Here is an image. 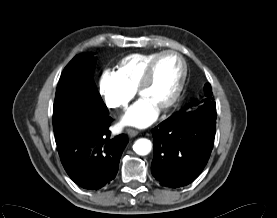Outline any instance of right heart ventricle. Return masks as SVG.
Listing matches in <instances>:
<instances>
[{
    "instance_id": "right-heart-ventricle-1",
    "label": "right heart ventricle",
    "mask_w": 277,
    "mask_h": 218,
    "mask_svg": "<svg viewBox=\"0 0 277 218\" xmlns=\"http://www.w3.org/2000/svg\"><path fill=\"white\" fill-rule=\"evenodd\" d=\"M159 52L133 53L124 57L118 65V73L133 88H137L149 62Z\"/></svg>"
}]
</instances>
